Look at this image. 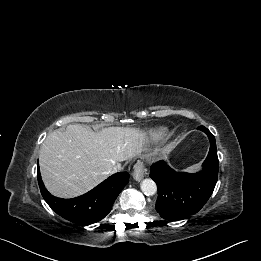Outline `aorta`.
Wrapping results in <instances>:
<instances>
[{"instance_id":"aorta-1","label":"aorta","mask_w":261,"mask_h":261,"mask_svg":"<svg viewBox=\"0 0 261 261\" xmlns=\"http://www.w3.org/2000/svg\"><path fill=\"white\" fill-rule=\"evenodd\" d=\"M140 188L141 191L147 196H152L157 192L156 183L152 179L142 180Z\"/></svg>"}]
</instances>
